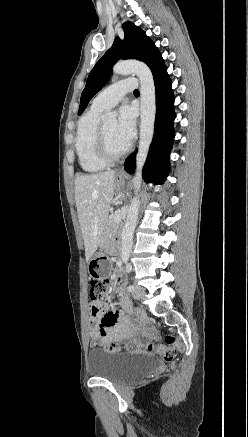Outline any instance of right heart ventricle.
<instances>
[{"label":"right heart ventricle","mask_w":248,"mask_h":437,"mask_svg":"<svg viewBox=\"0 0 248 437\" xmlns=\"http://www.w3.org/2000/svg\"><path fill=\"white\" fill-rule=\"evenodd\" d=\"M102 109L91 106L78 121L75 148L81 169L87 173H97L107 167L97 153V134Z\"/></svg>","instance_id":"obj_1"}]
</instances>
